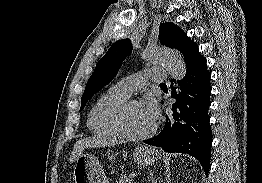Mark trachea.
I'll return each mask as SVG.
<instances>
[{"label": "trachea", "instance_id": "obj_1", "mask_svg": "<svg viewBox=\"0 0 262 183\" xmlns=\"http://www.w3.org/2000/svg\"><path fill=\"white\" fill-rule=\"evenodd\" d=\"M160 85H166L165 83H161Z\"/></svg>", "mask_w": 262, "mask_h": 183}]
</instances>
